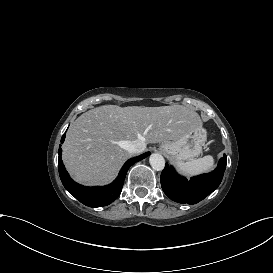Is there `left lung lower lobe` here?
I'll return each instance as SVG.
<instances>
[{"label":"left lung lower lobe","mask_w":273,"mask_h":273,"mask_svg":"<svg viewBox=\"0 0 273 273\" xmlns=\"http://www.w3.org/2000/svg\"><path fill=\"white\" fill-rule=\"evenodd\" d=\"M226 168V155L220 159L218 166L208 174L187 180L179 176L167 163L161 173V186L164 193L178 203L195 204L212 193L221 183Z\"/></svg>","instance_id":"left-lung-lower-lobe-1"}]
</instances>
